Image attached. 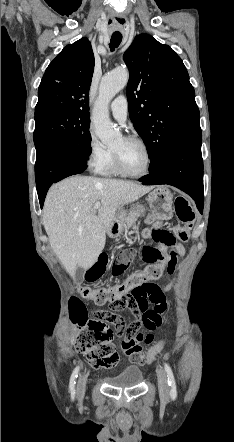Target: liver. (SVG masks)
<instances>
[{
    "mask_svg": "<svg viewBox=\"0 0 234 442\" xmlns=\"http://www.w3.org/2000/svg\"><path fill=\"white\" fill-rule=\"evenodd\" d=\"M152 189L130 181L91 176L69 177L49 189L42 221L53 251L70 276L78 267L87 270L97 261L117 208ZM96 202L101 203L98 215Z\"/></svg>",
    "mask_w": 234,
    "mask_h": 442,
    "instance_id": "obj_1",
    "label": "liver"
}]
</instances>
